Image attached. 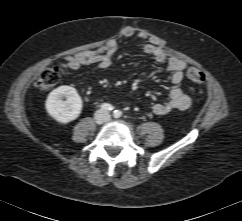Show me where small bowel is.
<instances>
[{
	"label": "small bowel",
	"instance_id": "c3829d8e",
	"mask_svg": "<svg viewBox=\"0 0 242 221\" xmlns=\"http://www.w3.org/2000/svg\"><path fill=\"white\" fill-rule=\"evenodd\" d=\"M124 37L136 35L139 39L147 40L148 34L144 31H135L133 28L127 27L122 31ZM119 48V43L115 39H110L102 46L95 50H86L79 52L73 56L65 57L58 65V69L64 75L69 70H76L83 65L95 64L99 70L108 69ZM144 52L151 55L158 63H166V71L171 75V81L175 85L169 93V98L165 102L155 103L152 111L156 115H166L175 110H186L192 100L180 87L184 77L186 64L179 58L167 55L164 50L154 42H147L143 48Z\"/></svg>",
	"mask_w": 242,
	"mask_h": 221
}]
</instances>
